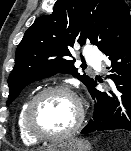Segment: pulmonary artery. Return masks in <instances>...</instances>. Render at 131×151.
<instances>
[{
    "instance_id": "obj_1",
    "label": "pulmonary artery",
    "mask_w": 131,
    "mask_h": 151,
    "mask_svg": "<svg viewBox=\"0 0 131 151\" xmlns=\"http://www.w3.org/2000/svg\"><path fill=\"white\" fill-rule=\"evenodd\" d=\"M86 61L96 70H100V54L92 47H86L84 50Z\"/></svg>"
}]
</instances>
